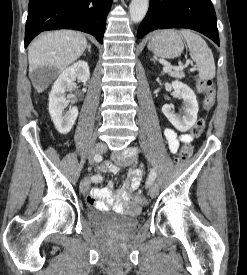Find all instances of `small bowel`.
Segmentation results:
<instances>
[{
  "label": "small bowel",
  "instance_id": "1",
  "mask_svg": "<svg viewBox=\"0 0 247 275\" xmlns=\"http://www.w3.org/2000/svg\"><path fill=\"white\" fill-rule=\"evenodd\" d=\"M165 138L168 143L169 150L172 153H176L181 143H189L193 140V136L190 134H178L171 128H166L164 131ZM101 171L118 173L119 167L116 165H105L101 166ZM141 182V172L137 169L129 172V180L124 184L121 189L113 192L110 186L93 188L87 196L89 204L93 205L98 209H108L114 205L117 210H124L129 212H137L139 206L135 203L130 202L131 191L137 190Z\"/></svg>",
  "mask_w": 247,
  "mask_h": 275
}]
</instances>
